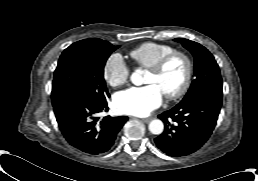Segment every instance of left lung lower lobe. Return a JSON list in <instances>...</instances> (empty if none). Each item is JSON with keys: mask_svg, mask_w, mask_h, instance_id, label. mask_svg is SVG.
I'll return each mask as SVG.
<instances>
[{"mask_svg": "<svg viewBox=\"0 0 258 181\" xmlns=\"http://www.w3.org/2000/svg\"><path fill=\"white\" fill-rule=\"evenodd\" d=\"M221 105L222 94L208 93L160 114L165 129L154 139L156 146L172 157L195 152L210 137Z\"/></svg>", "mask_w": 258, "mask_h": 181, "instance_id": "left-lung-lower-lobe-1", "label": "left lung lower lobe"}]
</instances>
